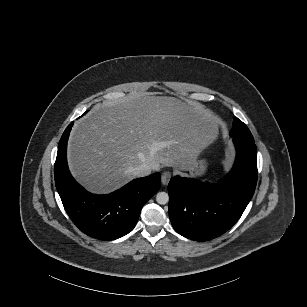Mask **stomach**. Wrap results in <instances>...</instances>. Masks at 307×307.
Here are the masks:
<instances>
[{"mask_svg": "<svg viewBox=\"0 0 307 307\" xmlns=\"http://www.w3.org/2000/svg\"><path fill=\"white\" fill-rule=\"evenodd\" d=\"M207 145H205L202 149H205ZM207 168V163L204 159L195 158V163L192 166L191 170L194 171V175L200 176L205 173Z\"/></svg>", "mask_w": 307, "mask_h": 307, "instance_id": "stomach-1", "label": "stomach"}]
</instances>
